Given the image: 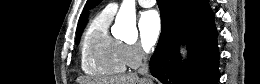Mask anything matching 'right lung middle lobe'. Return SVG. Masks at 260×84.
Returning a JSON list of instances; mask_svg holds the SVG:
<instances>
[{
	"label": "right lung middle lobe",
	"mask_w": 260,
	"mask_h": 84,
	"mask_svg": "<svg viewBox=\"0 0 260 84\" xmlns=\"http://www.w3.org/2000/svg\"><path fill=\"white\" fill-rule=\"evenodd\" d=\"M80 36H81V31L77 33V37H76V44H78V43H79Z\"/></svg>",
	"instance_id": "right-lung-middle-lobe-1"
}]
</instances>
